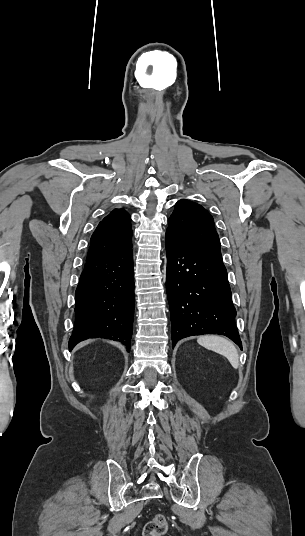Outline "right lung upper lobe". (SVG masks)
<instances>
[{
  "instance_id": "obj_1",
  "label": "right lung upper lobe",
  "mask_w": 305,
  "mask_h": 536,
  "mask_svg": "<svg viewBox=\"0 0 305 536\" xmlns=\"http://www.w3.org/2000/svg\"><path fill=\"white\" fill-rule=\"evenodd\" d=\"M131 218L124 209H114L91 237L86 261L103 258L132 247Z\"/></svg>"
}]
</instances>
